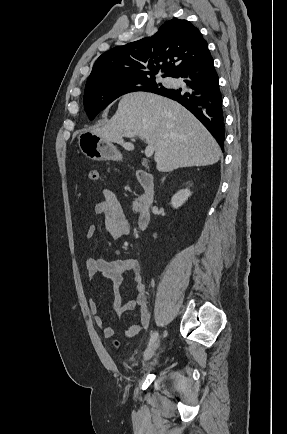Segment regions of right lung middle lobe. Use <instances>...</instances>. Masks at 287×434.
<instances>
[{
	"mask_svg": "<svg viewBox=\"0 0 287 434\" xmlns=\"http://www.w3.org/2000/svg\"><path fill=\"white\" fill-rule=\"evenodd\" d=\"M165 89L161 83L156 82L155 75L92 82L85 86L84 108L89 119L92 120L100 111L123 94Z\"/></svg>",
	"mask_w": 287,
	"mask_h": 434,
	"instance_id": "1",
	"label": "right lung middle lobe"
}]
</instances>
